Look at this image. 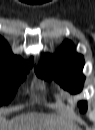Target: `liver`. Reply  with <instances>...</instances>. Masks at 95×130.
Returning a JSON list of instances; mask_svg holds the SVG:
<instances>
[{"instance_id": "6515ba94", "label": "liver", "mask_w": 95, "mask_h": 130, "mask_svg": "<svg viewBox=\"0 0 95 130\" xmlns=\"http://www.w3.org/2000/svg\"><path fill=\"white\" fill-rule=\"evenodd\" d=\"M62 125L63 118L60 116L29 112L19 114L11 120H2L1 130H60Z\"/></svg>"}]
</instances>
